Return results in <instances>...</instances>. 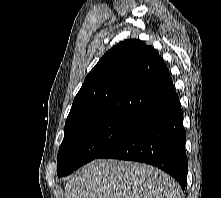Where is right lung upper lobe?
<instances>
[{
  "label": "right lung upper lobe",
  "instance_id": "1",
  "mask_svg": "<svg viewBox=\"0 0 221 198\" xmlns=\"http://www.w3.org/2000/svg\"><path fill=\"white\" fill-rule=\"evenodd\" d=\"M174 93L168 68L153 47L125 40L111 48L85 78L65 133L107 116L141 119Z\"/></svg>",
  "mask_w": 221,
  "mask_h": 198
}]
</instances>
